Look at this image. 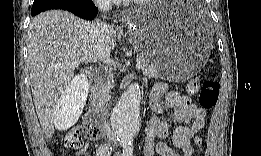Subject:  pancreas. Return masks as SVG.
<instances>
[{"label":"pancreas","instance_id":"pancreas-1","mask_svg":"<svg viewBox=\"0 0 261 156\" xmlns=\"http://www.w3.org/2000/svg\"><path fill=\"white\" fill-rule=\"evenodd\" d=\"M138 61L143 63L142 71L143 74L148 77H157L158 71L152 64L151 60L143 54H138ZM114 87L113 74L106 73L103 78H101L97 85L94 87L93 91V102L98 105L104 106L111 94V89Z\"/></svg>","mask_w":261,"mask_h":156}]
</instances>
